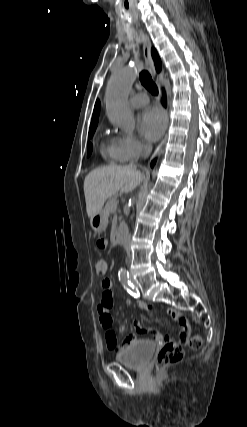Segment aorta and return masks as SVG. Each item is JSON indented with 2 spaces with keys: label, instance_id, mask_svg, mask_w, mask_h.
I'll return each instance as SVG.
<instances>
[{
  "label": "aorta",
  "instance_id": "obj_1",
  "mask_svg": "<svg viewBox=\"0 0 247 427\" xmlns=\"http://www.w3.org/2000/svg\"><path fill=\"white\" fill-rule=\"evenodd\" d=\"M137 74L138 66L135 64L116 68L112 73L105 95L109 120L128 135H132L135 130V119L127 101Z\"/></svg>",
  "mask_w": 247,
  "mask_h": 427
}]
</instances>
